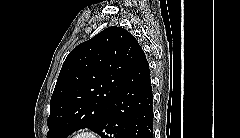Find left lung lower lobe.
<instances>
[{
	"label": "left lung lower lobe",
	"mask_w": 240,
	"mask_h": 138,
	"mask_svg": "<svg viewBox=\"0 0 240 138\" xmlns=\"http://www.w3.org/2000/svg\"><path fill=\"white\" fill-rule=\"evenodd\" d=\"M152 102L149 64L140 49L95 132L102 138H153Z\"/></svg>",
	"instance_id": "1"
}]
</instances>
